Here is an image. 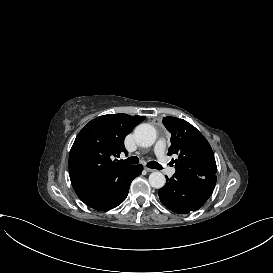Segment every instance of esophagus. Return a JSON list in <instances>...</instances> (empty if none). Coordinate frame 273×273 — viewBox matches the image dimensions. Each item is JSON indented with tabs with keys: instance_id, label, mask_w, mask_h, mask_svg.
Wrapping results in <instances>:
<instances>
[{
	"instance_id": "esophagus-1",
	"label": "esophagus",
	"mask_w": 273,
	"mask_h": 273,
	"mask_svg": "<svg viewBox=\"0 0 273 273\" xmlns=\"http://www.w3.org/2000/svg\"><path fill=\"white\" fill-rule=\"evenodd\" d=\"M144 169H145L147 172H154V171H156L155 169H151V168H148V167H144Z\"/></svg>"
}]
</instances>
